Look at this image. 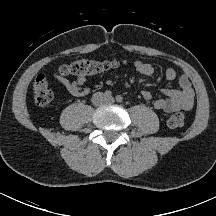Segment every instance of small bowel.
<instances>
[{"mask_svg": "<svg viewBox=\"0 0 216 216\" xmlns=\"http://www.w3.org/2000/svg\"><path fill=\"white\" fill-rule=\"evenodd\" d=\"M133 67L138 73L144 76H152L154 74V67L148 62L137 60L133 63ZM55 77L59 84L73 96L82 97L87 95L89 91L86 86V78L70 81L62 73H56ZM165 77L169 81L175 80L177 77L176 70L174 68L166 69ZM178 83L179 89H162L163 98L160 99L153 100V94L148 90H143L141 95L146 101L152 102L156 110L166 113L181 110L188 111L194 106V90L190 79L186 75L180 76Z\"/></svg>", "mask_w": 216, "mask_h": 216, "instance_id": "c3829d8e", "label": "small bowel"}]
</instances>
